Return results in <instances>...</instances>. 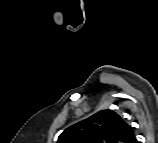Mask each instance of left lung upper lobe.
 Masks as SVG:
<instances>
[{
    "instance_id": "obj_1",
    "label": "left lung upper lobe",
    "mask_w": 158,
    "mask_h": 143,
    "mask_svg": "<svg viewBox=\"0 0 158 143\" xmlns=\"http://www.w3.org/2000/svg\"><path fill=\"white\" fill-rule=\"evenodd\" d=\"M57 143H136L133 128L116 112L102 110L71 125Z\"/></svg>"
}]
</instances>
